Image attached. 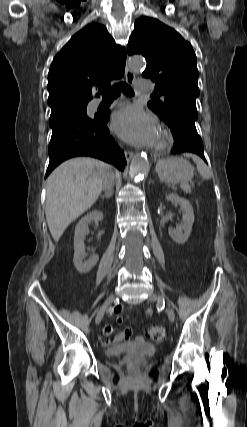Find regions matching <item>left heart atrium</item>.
Segmentation results:
<instances>
[{
    "mask_svg": "<svg viewBox=\"0 0 247 427\" xmlns=\"http://www.w3.org/2000/svg\"><path fill=\"white\" fill-rule=\"evenodd\" d=\"M112 129L120 138L137 146L151 145L157 138L156 119L137 106L117 111L112 119Z\"/></svg>",
    "mask_w": 247,
    "mask_h": 427,
    "instance_id": "left-heart-atrium-1",
    "label": "left heart atrium"
}]
</instances>
